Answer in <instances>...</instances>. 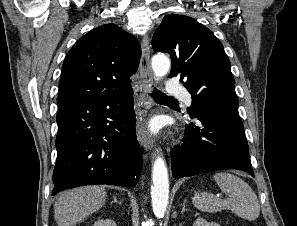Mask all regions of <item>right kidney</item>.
<instances>
[{
	"mask_svg": "<svg viewBox=\"0 0 297 226\" xmlns=\"http://www.w3.org/2000/svg\"><path fill=\"white\" fill-rule=\"evenodd\" d=\"M93 226H117V225L111 219H102V220L96 221Z\"/></svg>",
	"mask_w": 297,
	"mask_h": 226,
	"instance_id": "ca27d5eb",
	"label": "right kidney"
}]
</instances>
